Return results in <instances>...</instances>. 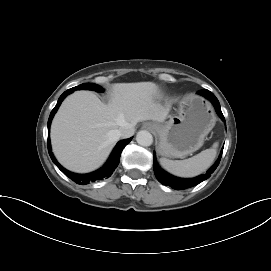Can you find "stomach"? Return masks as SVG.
Wrapping results in <instances>:
<instances>
[{
  "label": "stomach",
  "instance_id": "1",
  "mask_svg": "<svg viewBox=\"0 0 271 271\" xmlns=\"http://www.w3.org/2000/svg\"><path fill=\"white\" fill-rule=\"evenodd\" d=\"M211 104L203 97L189 94L179 102L178 111L163 123H154L159 136L158 152L170 158H185L203 146L215 126Z\"/></svg>",
  "mask_w": 271,
  "mask_h": 271
}]
</instances>
